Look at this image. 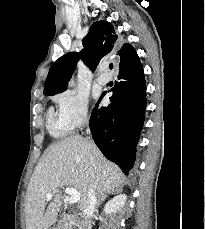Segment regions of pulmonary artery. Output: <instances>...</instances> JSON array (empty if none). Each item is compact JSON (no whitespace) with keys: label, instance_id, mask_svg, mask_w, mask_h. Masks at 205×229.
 Wrapping results in <instances>:
<instances>
[{"label":"pulmonary artery","instance_id":"obj_1","mask_svg":"<svg viewBox=\"0 0 205 229\" xmlns=\"http://www.w3.org/2000/svg\"><path fill=\"white\" fill-rule=\"evenodd\" d=\"M108 82V79L107 78H99L98 79V83L101 84V85H105L106 83Z\"/></svg>","mask_w":205,"mask_h":229}]
</instances>
